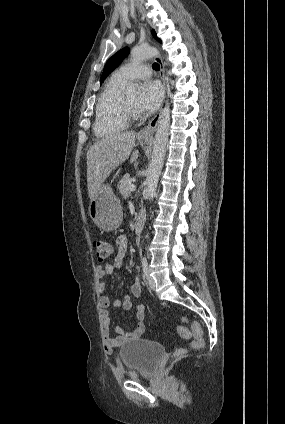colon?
<instances>
[{
  "mask_svg": "<svg viewBox=\"0 0 285 424\" xmlns=\"http://www.w3.org/2000/svg\"><path fill=\"white\" fill-rule=\"evenodd\" d=\"M93 248L96 254V257L99 261L106 260L112 253L113 247L110 243L97 239L93 242ZM191 331L193 334V342L192 345L194 348H201L204 345V332L201 325L198 322H193L191 325ZM178 334L183 338H188L190 333L183 327L177 328ZM185 353V350L179 349L176 352L177 356H182Z\"/></svg>",
  "mask_w": 285,
  "mask_h": 424,
  "instance_id": "colon-1",
  "label": "colon"
}]
</instances>
